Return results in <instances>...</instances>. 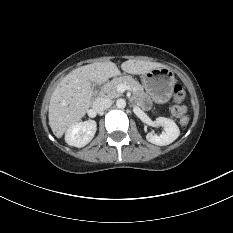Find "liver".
Here are the masks:
<instances>
[{"mask_svg":"<svg viewBox=\"0 0 233 233\" xmlns=\"http://www.w3.org/2000/svg\"><path fill=\"white\" fill-rule=\"evenodd\" d=\"M165 65L158 62L128 60L121 69L129 74L140 75ZM116 64L97 62L79 67L70 72L55 88L49 103V125L53 134L60 138L66 130L88 111L91 105V83L102 84L109 78L119 75Z\"/></svg>","mask_w":233,"mask_h":233,"instance_id":"obj_1","label":"liver"}]
</instances>
